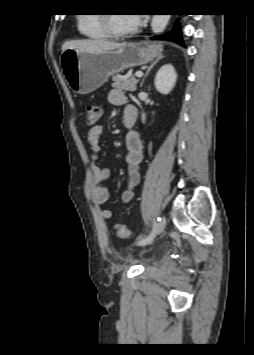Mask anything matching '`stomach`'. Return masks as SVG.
<instances>
[{
  "label": "stomach",
  "mask_w": 254,
  "mask_h": 355,
  "mask_svg": "<svg viewBox=\"0 0 254 355\" xmlns=\"http://www.w3.org/2000/svg\"><path fill=\"white\" fill-rule=\"evenodd\" d=\"M162 45L127 43L117 50L79 52L67 49L60 63L71 89L78 94H89L103 85L114 73L144 65L162 52Z\"/></svg>",
  "instance_id": "0dacf381"
}]
</instances>
